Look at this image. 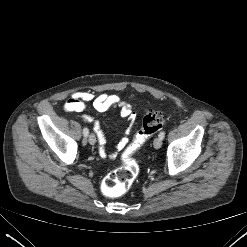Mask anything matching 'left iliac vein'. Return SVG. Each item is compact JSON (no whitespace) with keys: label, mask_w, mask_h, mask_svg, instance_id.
I'll list each match as a JSON object with an SVG mask.
<instances>
[{"label":"left iliac vein","mask_w":247,"mask_h":247,"mask_svg":"<svg viewBox=\"0 0 247 247\" xmlns=\"http://www.w3.org/2000/svg\"><path fill=\"white\" fill-rule=\"evenodd\" d=\"M153 145H154V148L155 149L161 148V146H162V139L160 137L155 138Z\"/></svg>","instance_id":"4c4485c4"}]
</instances>
